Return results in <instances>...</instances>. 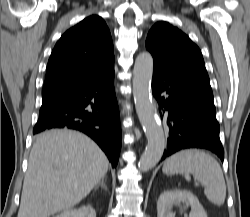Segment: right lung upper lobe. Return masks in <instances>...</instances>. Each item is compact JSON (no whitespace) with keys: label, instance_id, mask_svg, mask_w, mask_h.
Masks as SVG:
<instances>
[{"label":"right lung upper lobe","instance_id":"right-lung-upper-lobe-1","mask_svg":"<svg viewBox=\"0 0 250 217\" xmlns=\"http://www.w3.org/2000/svg\"><path fill=\"white\" fill-rule=\"evenodd\" d=\"M114 68L110 31L99 16H89L65 32L48 61L42 99L87 85Z\"/></svg>","mask_w":250,"mask_h":217}]
</instances>
